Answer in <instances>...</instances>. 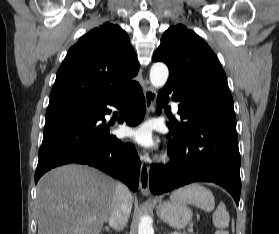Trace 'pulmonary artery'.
<instances>
[{
	"label": "pulmonary artery",
	"instance_id": "e3ab8cb5",
	"mask_svg": "<svg viewBox=\"0 0 279 234\" xmlns=\"http://www.w3.org/2000/svg\"><path fill=\"white\" fill-rule=\"evenodd\" d=\"M171 108H172L173 113L178 115V112H179L178 103L174 102V101L171 102Z\"/></svg>",
	"mask_w": 279,
	"mask_h": 234
}]
</instances>
